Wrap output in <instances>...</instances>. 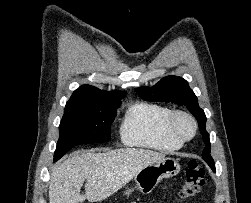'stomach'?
Wrapping results in <instances>:
<instances>
[{
	"instance_id": "obj_1",
	"label": "stomach",
	"mask_w": 251,
	"mask_h": 203,
	"mask_svg": "<svg viewBox=\"0 0 251 203\" xmlns=\"http://www.w3.org/2000/svg\"><path fill=\"white\" fill-rule=\"evenodd\" d=\"M180 171V165L174 158H164L163 160L153 163L143 168L135 177V187L127 189V195L131 194L134 189L141 193L151 192L163 178H169L177 175Z\"/></svg>"
}]
</instances>
